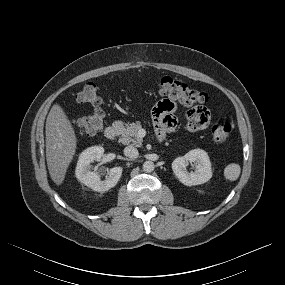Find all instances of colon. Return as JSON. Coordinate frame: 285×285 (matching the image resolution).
Segmentation results:
<instances>
[{
  "label": "colon",
  "mask_w": 285,
  "mask_h": 285,
  "mask_svg": "<svg viewBox=\"0 0 285 285\" xmlns=\"http://www.w3.org/2000/svg\"><path fill=\"white\" fill-rule=\"evenodd\" d=\"M159 92L163 95H171L185 105L203 104L208 100L205 92L192 88L188 84L164 76L158 80ZM76 99L83 104L91 105L94 110L90 115L78 118L73 121L74 127L84 135H93L97 133L104 123L105 113L103 110V102L98 94L97 88L93 83H87L77 94ZM233 126L229 122L217 121L212 125L211 135L215 142L223 143L231 135Z\"/></svg>",
  "instance_id": "obj_1"
}]
</instances>
